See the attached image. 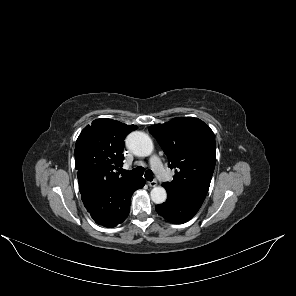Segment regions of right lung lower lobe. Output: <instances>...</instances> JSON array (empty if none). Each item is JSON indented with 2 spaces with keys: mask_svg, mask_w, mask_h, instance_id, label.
Returning a JSON list of instances; mask_svg holds the SVG:
<instances>
[{
  "mask_svg": "<svg viewBox=\"0 0 296 296\" xmlns=\"http://www.w3.org/2000/svg\"><path fill=\"white\" fill-rule=\"evenodd\" d=\"M78 182L85 208L97 224L105 227H115L126 219L133 192L145 185L141 177L121 184H102L89 175H78Z\"/></svg>",
  "mask_w": 296,
  "mask_h": 296,
  "instance_id": "obj_1",
  "label": "right lung lower lobe"
}]
</instances>
